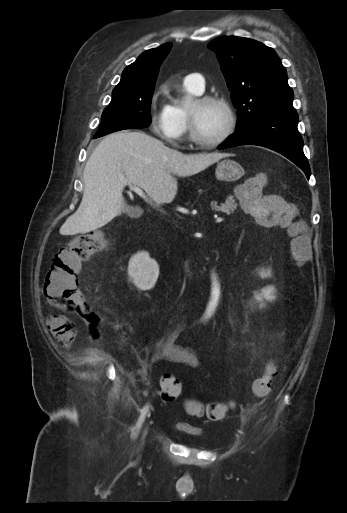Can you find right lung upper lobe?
Listing matches in <instances>:
<instances>
[{"label":"right lung upper lobe","mask_w":347,"mask_h":513,"mask_svg":"<svg viewBox=\"0 0 347 513\" xmlns=\"http://www.w3.org/2000/svg\"><path fill=\"white\" fill-rule=\"evenodd\" d=\"M171 47V43H166L158 48L143 52L134 63L124 69L122 78L115 89L155 85L159 67Z\"/></svg>","instance_id":"obj_1"}]
</instances>
